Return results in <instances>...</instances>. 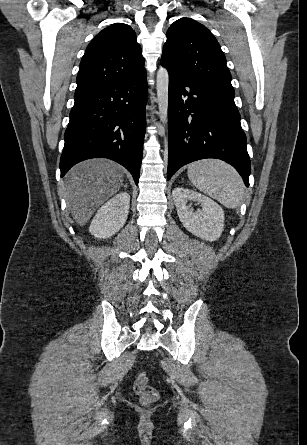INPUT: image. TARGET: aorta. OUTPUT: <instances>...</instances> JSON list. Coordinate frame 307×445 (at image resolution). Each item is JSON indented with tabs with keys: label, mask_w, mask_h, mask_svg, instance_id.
<instances>
[{
	"label": "aorta",
	"mask_w": 307,
	"mask_h": 445,
	"mask_svg": "<svg viewBox=\"0 0 307 445\" xmlns=\"http://www.w3.org/2000/svg\"><path fill=\"white\" fill-rule=\"evenodd\" d=\"M157 98L158 108L160 112V120L163 124H166L168 120V86H169V74L166 68H159L157 72Z\"/></svg>",
	"instance_id": "aorta-1"
}]
</instances>
